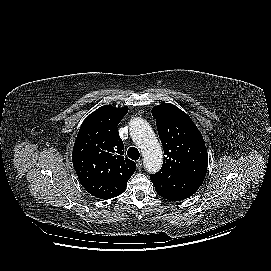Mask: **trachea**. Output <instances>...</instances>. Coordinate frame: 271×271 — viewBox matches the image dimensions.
<instances>
[{
  "label": "trachea",
  "instance_id": "3493384b",
  "mask_svg": "<svg viewBox=\"0 0 271 271\" xmlns=\"http://www.w3.org/2000/svg\"><path fill=\"white\" fill-rule=\"evenodd\" d=\"M127 155L129 158H131L132 160H138L140 157V153L138 151L137 148L135 147H130L127 151Z\"/></svg>",
  "mask_w": 271,
  "mask_h": 271
}]
</instances>
